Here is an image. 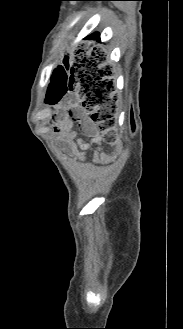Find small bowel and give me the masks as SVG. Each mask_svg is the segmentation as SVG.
Instances as JSON below:
<instances>
[{
  "mask_svg": "<svg viewBox=\"0 0 183 329\" xmlns=\"http://www.w3.org/2000/svg\"><path fill=\"white\" fill-rule=\"evenodd\" d=\"M74 116L78 119L83 131L91 137L90 141L82 138L76 139V132L73 129V120L69 119L64 122L60 132L65 144V149L80 159H84L85 153L92 150V145H100V138L97 129L83 111L76 109ZM96 162L105 160V155L101 149L92 151Z\"/></svg>",
  "mask_w": 183,
  "mask_h": 329,
  "instance_id": "c3829d8e",
  "label": "small bowel"
}]
</instances>
